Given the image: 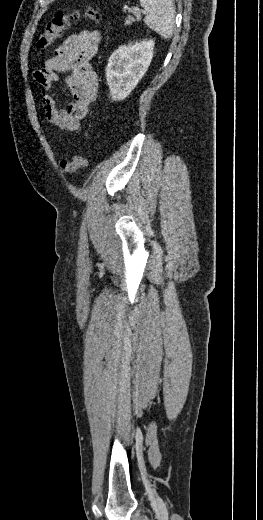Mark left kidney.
<instances>
[{
	"instance_id": "1",
	"label": "left kidney",
	"mask_w": 263,
	"mask_h": 520,
	"mask_svg": "<svg viewBox=\"0 0 263 520\" xmlns=\"http://www.w3.org/2000/svg\"><path fill=\"white\" fill-rule=\"evenodd\" d=\"M154 41L121 46L112 53L106 79L113 101L125 99L146 73L153 57Z\"/></svg>"
}]
</instances>
